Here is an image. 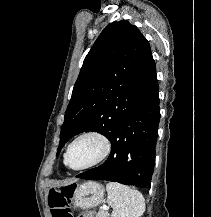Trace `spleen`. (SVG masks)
I'll return each instance as SVG.
<instances>
[{"label":"spleen","instance_id":"1","mask_svg":"<svg viewBox=\"0 0 211 217\" xmlns=\"http://www.w3.org/2000/svg\"><path fill=\"white\" fill-rule=\"evenodd\" d=\"M108 204L113 208L111 217H141L145 211L143 195L117 182L106 185Z\"/></svg>","mask_w":211,"mask_h":217}]
</instances>
